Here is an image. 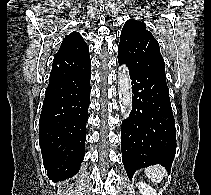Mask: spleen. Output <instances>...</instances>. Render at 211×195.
<instances>
[{
	"mask_svg": "<svg viewBox=\"0 0 211 195\" xmlns=\"http://www.w3.org/2000/svg\"><path fill=\"white\" fill-rule=\"evenodd\" d=\"M146 176L155 183H160L166 175V169L162 166H151L145 169Z\"/></svg>",
	"mask_w": 211,
	"mask_h": 195,
	"instance_id": "1",
	"label": "spleen"
}]
</instances>
